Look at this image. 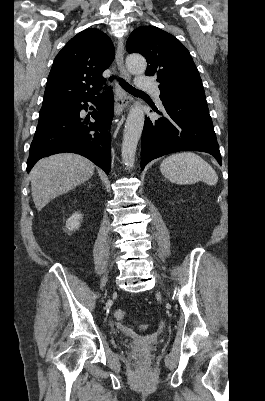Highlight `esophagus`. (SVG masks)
Listing matches in <instances>:
<instances>
[{
    "instance_id": "obj_1",
    "label": "esophagus",
    "mask_w": 265,
    "mask_h": 401,
    "mask_svg": "<svg viewBox=\"0 0 265 401\" xmlns=\"http://www.w3.org/2000/svg\"><path fill=\"white\" fill-rule=\"evenodd\" d=\"M115 59L117 62V67H118V70L120 73V77L129 82L131 80V76L125 70V67H124V44H123L122 39L119 40L116 54H115ZM131 102H132V97L129 96L126 93V91L120 85L117 84L116 95H115V114H116V116L120 115L123 111H125L128 108V106L131 104Z\"/></svg>"
}]
</instances>
